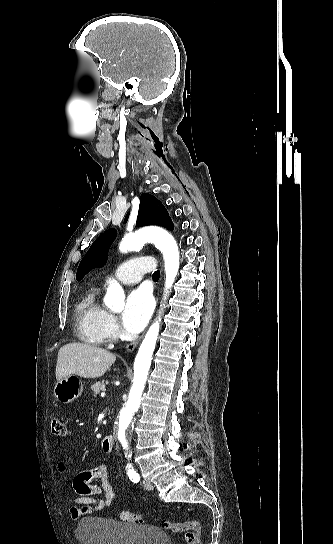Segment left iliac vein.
<instances>
[{"label":"left iliac vein","instance_id":"1","mask_svg":"<svg viewBox=\"0 0 333 544\" xmlns=\"http://www.w3.org/2000/svg\"><path fill=\"white\" fill-rule=\"evenodd\" d=\"M143 486H144V488H145L146 490H153V489H154L153 484H152L150 481H148V480H144V481H143Z\"/></svg>","mask_w":333,"mask_h":544}]
</instances>
